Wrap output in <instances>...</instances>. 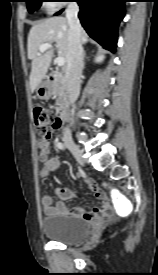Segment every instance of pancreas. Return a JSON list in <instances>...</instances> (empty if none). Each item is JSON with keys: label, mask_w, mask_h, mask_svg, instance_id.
Returning a JSON list of instances; mask_svg holds the SVG:
<instances>
[{"label": "pancreas", "mask_w": 158, "mask_h": 275, "mask_svg": "<svg viewBox=\"0 0 158 275\" xmlns=\"http://www.w3.org/2000/svg\"><path fill=\"white\" fill-rule=\"evenodd\" d=\"M52 95L56 98L57 104H61L67 99L66 80L62 73L54 74V81L51 85Z\"/></svg>", "instance_id": "cf45deb5"}]
</instances>
